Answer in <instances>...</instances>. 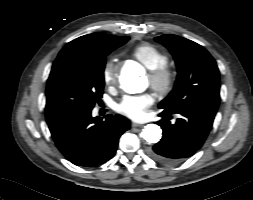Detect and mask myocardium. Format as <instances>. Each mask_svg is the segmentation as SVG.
<instances>
[{
  "label": "myocardium",
  "mask_w": 253,
  "mask_h": 200,
  "mask_svg": "<svg viewBox=\"0 0 253 200\" xmlns=\"http://www.w3.org/2000/svg\"><path fill=\"white\" fill-rule=\"evenodd\" d=\"M150 85L159 95L168 94L175 83V72L168 65L150 70Z\"/></svg>",
  "instance_id": "f54148a6"
}]
</instances>
